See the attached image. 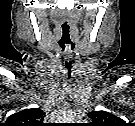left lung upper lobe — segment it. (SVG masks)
Returning <instances> with one entry per match:
<instances>
[{
	"label": "left lung upper lobe",
	"mask_w": 135,
	"mask_h": 126,
	"mask_svg": "<svg viewBox=\"0 0 135 126\" xmlns=\"http://www.w3.org/2000/svg\"><path fill=\"white\" fill-rule=\"evenodd\" d=\"M88 116L92 119L94 126L116 125L120 121L118 117L105 111H93L88 113Z\"/></svg>",
	"instance_id": "left-lung-upper-lobe-1"
}]
</instances>
